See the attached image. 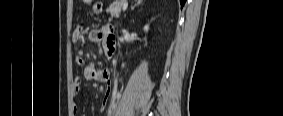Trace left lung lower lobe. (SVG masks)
<instances>
[{"mask_svg":"<svg viewBox=\"0 0 283 116\" xmlns=\"http://www.w3.org/2000/svg\"><path fill=\"white\" fill-rule=\"evenodd\" d=\"M185 1H186V0H180L181 7H183V5L185 4Z\"/></svg>","mask_w":283,"mask_h":116,"instance_id":"obj_1","label":"left lung lower lobe"}]
</instances>
